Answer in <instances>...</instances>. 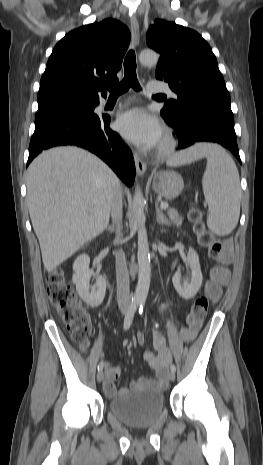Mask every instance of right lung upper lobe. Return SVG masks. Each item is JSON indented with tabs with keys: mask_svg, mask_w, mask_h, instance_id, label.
<instances>
[{
	"mask_svg": "<svg viewBox=\"0 0 263 465\" xmlns=\"http://www.w3.org/2000/svg\"><path fill=\"white\" fill-rule=\"evenodd\" d=\"M129 42V29L114 19L69 32L52 51L40 81L38 101L106 96L103 85L118 81L116 74Z\"/></svg>",
	"mask_w": 263,
	"mask_h": 465,
	"instance_id": "obj_1",
	"label": "right lung upper lobe"
}]
</instances>
